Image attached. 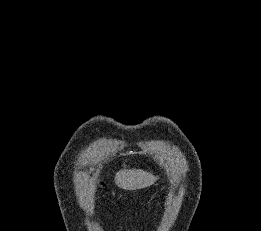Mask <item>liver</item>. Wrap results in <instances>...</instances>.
Here are the masks:
<instances>
[{"mask_svg": "<svg viewBox=\"0 0 261 231\" xmlns=\"http://www.w3.org/2000/svg\"><path fill=\"white\" fill-rule=\"evenodd\" d=\"M158 178L141 169L120 170L116 173L115 183L125 190H137L151 186Z\"/></svg>", "mask_w": 261, "mask_h": 231, "instance_id": "liver-1", "label": "liver"}]
</instances>
